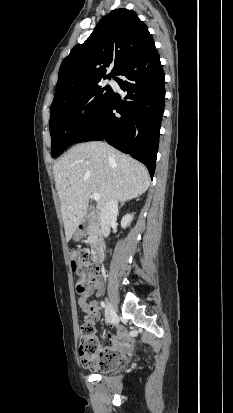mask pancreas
<instances>
[{"label": "pancreas", "instance_id": "pancreas-1", "mask_svg": "<svg viewBox=\"0 0 233 413\" xmlns=\"http://www.w3.org/2000/svg\"><path fill=\"white\" fill-rule=\"evenodd\" d=\"M88 235V242L93 245L98 239V229L94 226H91L89 228Z\"/></svg>", "mask_w": 233, "mask_h": 413}]
</instances>
